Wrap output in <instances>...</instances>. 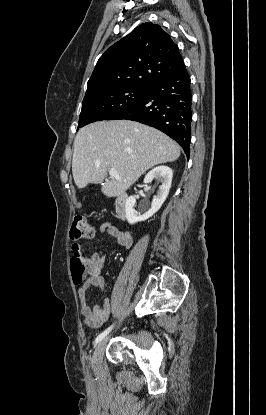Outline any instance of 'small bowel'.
Returning a JSON list of instances; mask_svg holds the SVG:
<instances>
[{
	"label": "small bowel",
	"instance_id": "small-bowel-1",
	"mask_svg": "<svg viewBox=\"0 0 266 415\" xmlns=\"http://www.w3.org/2000/svg\"><path fill=\"white\" fill-rule=\"evenodd\" d=\"M100 232L113 237L121 246L129 249L133 245V239L129 232L121 231L116 226L105 223L100 227ZM72 251H80V245L73 243ZM106 257L103 253L94 252L84 258V264L88 270V276L78 289V297L81 307V315L84 323L90 328H97L104 325L111 313V302L106 298L102 305L91 307L86 298L89 288L103 290L105 282L101 276V270L105 264Z\"/></svg>",
	"mask_w": 266,
	"mask_h": 415
}]
</instances>
